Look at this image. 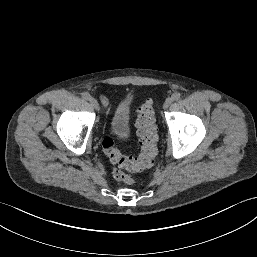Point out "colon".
<instances>
[{"label":"colon","instance_id":"obj_1","mask_svg":"<svg viewBox=\"0 0 257 257\" xmlns=\"http://www.w3.org/2000/svg\"><path fill=\"white\" fill-rule=\"evenodd\" d=\"M136 125L141 144L138 156L122 154L111 137H105L102 141L104 153L114 166V178L126 184L133 183V179L126 172H140L149 168L157 155L158 134L150 101L140 107Z\"/></svg>","mask_w":257,"mask_h":257}]
</instances>
